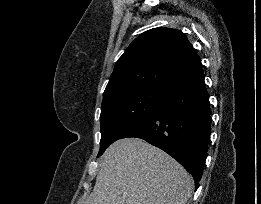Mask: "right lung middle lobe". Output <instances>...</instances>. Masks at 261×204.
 Instances as JSON below:
<instances>
[{
    "instance_id": "right-lung-middle-lobe-1",
    "label": "right lung middle lobe",
    "mask_w": 261,
    "mask_h": 204,
    "mask_svg": "<svg viewBox=\"0 0 261 204\" xmlns=\"http://www.w3.org/2000/svg\"><path fill=\"white\" fill-rule=\"evenodd\" d=\"M154 90H126L103 98L101 106V141L98 156L118 140L137 121L148 114L165 96Z\"/></svg>"
}]
</instances>
